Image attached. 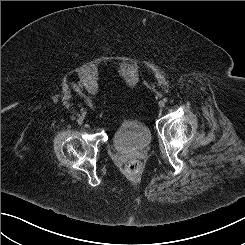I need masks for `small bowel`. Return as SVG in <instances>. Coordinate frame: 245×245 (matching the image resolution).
I'll return each instance as SVG.
<instances>
[{"instance_id": "1", "label": "small bowel", "mask_w": 245, "mask_h": 245, "mask_svg": "<svg viewBox=\"0 0 245 245\" xmlns=\"http://www.w3.org/2000/svg\"><path fill=\"white\" fill-rule=\"evenodd\" d=\"M73 89L78 95H80L85 100V102L90 108H97V104L94 102V100L90 96H86L77 85L74 84Z\"/></svg>"}]
</instances>
